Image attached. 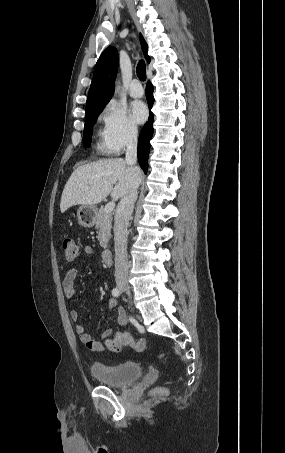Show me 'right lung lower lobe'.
<instances>
[{
	"label": "right lung lower lobe",
	"instance_id": "right-lung-lower-lobe-1",
	"mask_svg": "<svg viewBox=\"0 0 285 453\" xmlns=\"http://www.w3.org/2000/svg\"><path fill=\"white\" fill-rule=\"evenodd\" d=\"M146 98L151 109L154 103L153 86L149 82L146 86ZM153 114L151 113L148 121L144 125L138 140V162L145 173L148 170V154L150 151V140L153 135Z\"/></svg>",
	"mask_w": 285,
	"mask_h": 453
}]
</instances>
